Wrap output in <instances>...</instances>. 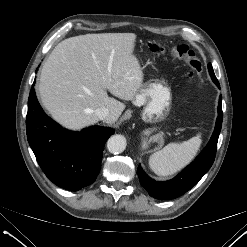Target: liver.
Segmentation results:
<instances>
[{"label": "liver", "instance_id": "liver-1", "mask_svg": "<svg viewBox=\"0 0 247 247\" xmlns=\"http://www.w3.org/2000/svg\"><path fill=\"white\" fill-rule=\"evenodd\" d=\"M136 34L101 33L71 37L60 42L43 65L39 94L54 120L80 130L99 121L95 110L109 109L106 122L117 121L124 103L143 85V71L133 54Z\"/></svg>", "mask_w": 247, "mask_h": 247}]
</instances>
